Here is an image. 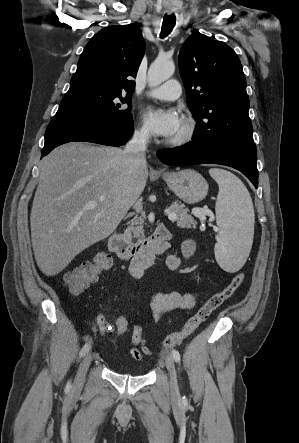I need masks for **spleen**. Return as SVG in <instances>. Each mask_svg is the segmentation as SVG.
<instances>
[{
  "label": "spleen",
  "mask_w": 299,
  "mask_h": 443,
  "mask_svg": "<svg viewBox=\"0 0 299 443\" xmlns=\"http://www.w3.org/2000/svg\"><path fill=\"white\" fill-rule=\"evenodd\" d=\"M209 173L219 186L215 210L220 231L215 258L223 270L233 273L241 269L251 250L253 203L247 188L234 174L217 168Z\"/></svg>",
  "instance_id": "spleen-1"
}]
</instances>
